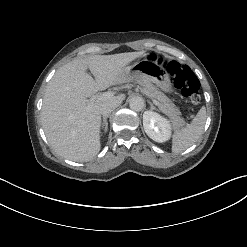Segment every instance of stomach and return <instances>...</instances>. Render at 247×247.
Returning <instances> with one entry per match:
<instances>
[{
  "instance_id": "obj_1",
  "label": "stomach",
  "mask_w": 247,
  "mask_h": 247,
  "mask_svg": "<svg viewBox=\"0 0 247 247\" xmlns=\"http://www.w3.org/2000/svg\"><path fill=\"white\" fill-rule=\"evenodd\" d=\"M135 79H146L154 82L163 91L173 92V86L166 70L151 60H135L126 68Z\"/></svg>"
}]
</instances>
